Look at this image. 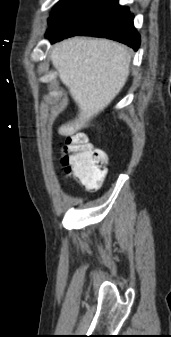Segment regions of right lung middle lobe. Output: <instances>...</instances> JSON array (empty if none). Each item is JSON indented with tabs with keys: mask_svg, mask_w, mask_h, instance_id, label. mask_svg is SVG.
Here are the masks:
<instances>
[{
	"mask_svg": "<svg viewBox=\"0 0 171 337\" xmlns=\"http://www.w3.org/2000/svg\"><path fill=\"white\" fill-rule=\"evenodd\" d=\"M75 0H61L56 7L52 10L49 17V24L54 22L58 17H60L74 2Z\"/></svg>",
	"mask_w": 171,
	"mask_h": 337,
	"instance_id": "1",
	"label": "right lung middle lobe"
}]
</instances>
